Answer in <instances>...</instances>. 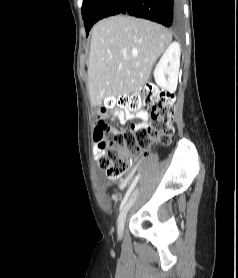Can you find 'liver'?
I'll list each match as a JSON object with an SVG mask.
<instances>
[{"label":"liver","instance_id":"liver-1","mask_svg":"<svg viewBox=\"0 0 238 278\" xmlns=\"http://www.w3.org/2000/svg\"><path fill=\"white\" fill-rule=\"evenodd\" d=\"M172 41L162 25L130 16L102 19L92 30L88 86L91 104L136 92Z\"/></svg>","mask_w":238,"mask_h":278}]
</instances>
